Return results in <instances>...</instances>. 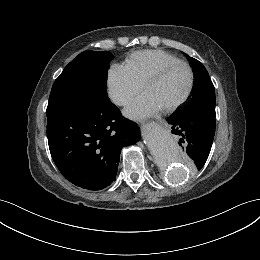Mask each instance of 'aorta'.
<instances>
[{
    "instance_id": "762f6f07",
    "label": "aorta",
    "mask_w": 260,
    "mask_h": 260,
    "mask_svg": "<svg viewBox=\"0 0 260 260\" xmlns=\"http://www.w3.org/2000/svg\"><path fill=\"white\" fill-rule=\"evenodd\" d=\"M143 141L169 182L178 183L189 176L187 163L174 140L166 131L150 125L143 130Z\"/></svg>"
}]
</instances>
